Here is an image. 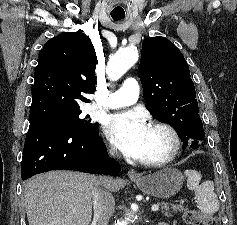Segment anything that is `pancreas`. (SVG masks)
Segmentation results:
<instances>
[{
	"instance_id": "pancreas-1",
	"label": "pancreas",
	"mask_w": 237,
	"mask_h": 225,
	"mask_svg": "<svg viewBox=\"0 0 237 225\" xmlns=\"http://www.w3.org/2000/svg\"><path fill=\"white\" fill-rule=\"evenodd\" d=\"M161 206H162L161 213L166 217L172 216L170 209L172 210V212H179V213L184 210V207L181 205H171V207H169L167 203H161Z\"/></svg>"
}]
</instances>
